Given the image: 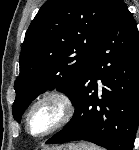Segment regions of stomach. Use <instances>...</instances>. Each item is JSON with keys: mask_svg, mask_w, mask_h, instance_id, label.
<instances>
[{"mask_svg": "<svg viewBox=\"0 0 139 150\" xmlns=\"http://www.w3.org/2000/svg\"><path fill=\"white\" fill-rule=\"evenodd\" d=\"M50 150H82L80 145L66 144L59 147L52 148Z\"/></svg>", "mask_w": 139, "mask_h": 150, "instance_id": "1", "label": "stomach"}]
</instances>
